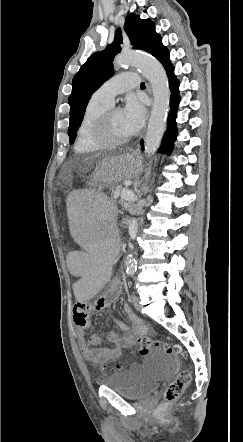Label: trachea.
<instances>
[{"label": "trachea", "instance_id": "trachea-1", "mask_svg": "<svg viewBox=\"0 0 243 442\" xmlns=\"http://www.w3.org/2000/svg\"><path fill=\"white\" fill-rule=\"evenodd\" d=\"M140 87H145V83L142 82V83L140 84Z\"/></svg>", "mask_w": 243, "mask_h": 442}]
</instances>
